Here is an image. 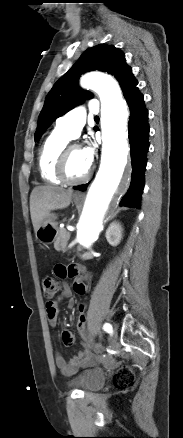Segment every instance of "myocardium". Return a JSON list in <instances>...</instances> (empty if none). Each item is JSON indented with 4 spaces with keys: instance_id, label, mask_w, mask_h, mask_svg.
Instances as JSON below:
<instances>
[{
    "instance_id": "f54148a6",
    "label": "myocardium",
    "mask_w": 183,
    "mask_h": 438,
    "mask_svg": "<svg viewBox=\"0 0 183 438\" xmlns=\"http://www.w3.org/2000/svg\"><path fill=\"white\" fill-rule=\"evenodd\" d=\"M75 148H80V146L77 144L66 145L59 153L58 158H57V162H56L55 174L61 183H64L67 185H78V184L85 183L86 181H88L90 179L92 172H93V166L90 165L86 174L80 179L73 180L67 176L66 166H67L68 156H69L70 152Z\"/></svg>"
}]
</instances>
